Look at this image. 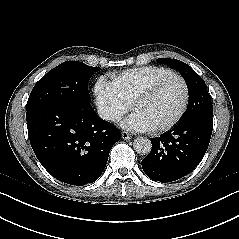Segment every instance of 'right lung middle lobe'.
<instances>
[{"label":"right lung middle lobe","instance_id":"obj_1","mask_svg":"<svg viewBox=\"0 0 239 239\" xmlns=\"http://www.w3.org/2000/svg\"><path fill=\"white\" fill-rule=\"evenodd\" d=\"M100 69L77 61H66L58 65L36 83L27 108L48 103L90 104L88 81L92 73Z\"/></svg>","mask_w":239,"mask_h":239}]
</instances>
